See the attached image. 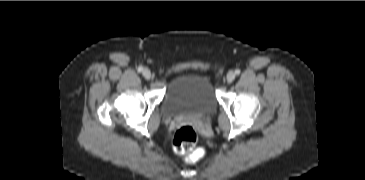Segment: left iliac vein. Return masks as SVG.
<instances>
[{
    "mask_svg": "<svg viewBox=\"0 0 365 180\" xmlns=\"http://www.w3.org/2000/svg\"><path fill=\"white\" fill-rule=\"evenodd\" d=\"M235 77H236V74L233 71L228 72V74L226 76L227 82L228 83L233 82Z\"/></svg>",
    "mask_w": 365,
    "mask_h": 180,
    "instance_id": "4c4485c4",
    "label": "left iliac vein"
}]
</instances>
